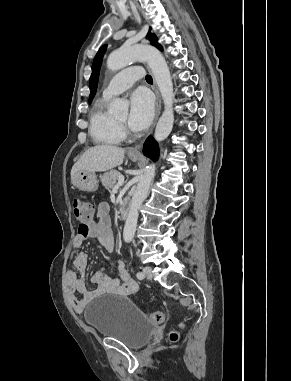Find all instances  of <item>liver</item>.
Here are the masks:
<instances>
[{"instance_id": "1", "label": "liver", "mask_w": 291, "mask_h": 381, "mask_svg": "<svg viewBox=\"0 0 291 381\" xmlns=\"http://www.w3.org/2000/svg\"><path fill=\"white\" fill-rule=\"evenodd\" d=\"M125 150L114 145H97L84 152L73 165L71 180L79 171L104 172L123 163Z\"/></svg>"}]
</instances>
